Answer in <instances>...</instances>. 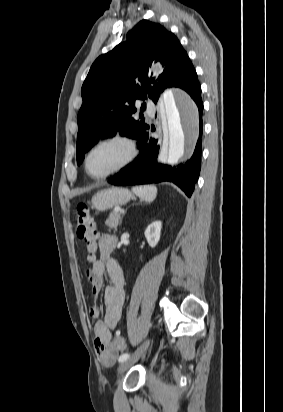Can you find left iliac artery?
I'll return each instance as SVG.
<instances>
[{"label": "left iliac artery", "mask_w": 283, "mask_h": 412, "mask_svg": "<svg viewBox=\"0 0 283 412\" xmlns=\"http://www.w3.org/2000/svg\"><path fill=\"white\" fill-rule=\"evenodd\" d=\"M129 356H130V354H128V353L122 354L119 357V362H124L125 360H127L129 358Z\"/></svg>", "instance_id": "left-iliac-artery-1"}]
</instances>
